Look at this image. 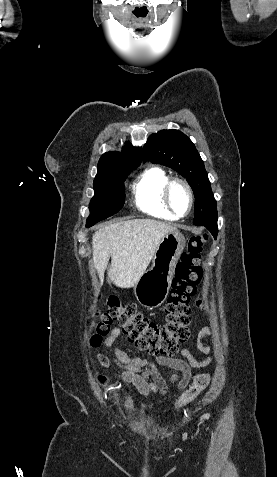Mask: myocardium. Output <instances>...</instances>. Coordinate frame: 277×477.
I'll list each match as a JSON object with an SVG mask.
<instances>
[{
    "label": "myocardium",
    "instance_id": "obj_1",
    "mask_svg": "<svg viewBox=\"0 0 277 477\" xmlns=\"http://www.w3.org/2000/svg\"><path fill=\"white\" fill-rule=\"evenodd\" d=\"M177 184L182 185L185 188V190L187 191L188 197H189V207H188V210L185 214L177 213L176 210L174 209L173 205H172V202H171V190ZM163 200H164V203H165L166 207L168 208V210L172 214H174L178 218H183V217L188 216L193 209L194 193H193L192 187L190 186V184L186 180H184L182 178H173V179H170L165 184V186L163 188Z\"/></svg>",
    "mask_w": 277,
    "mask_h": 477
}]
</instances>
